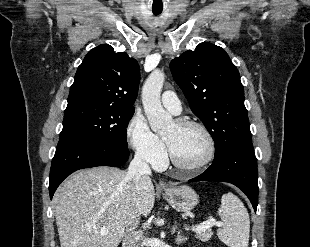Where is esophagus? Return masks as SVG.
I'll use <instances>...</instances> for the list:
<instances>
[{"instance_id": "esophagus-1", "label": "esophagus", "mask_w": 310, "mask_h": 247, "mask_svg": "<svg viewBox=\"0 0 310 247\" xmlns=\"http://www.w3.org/2000/svg\"><path fill=\"white\" fill-rule=\"evenodd\" d=\"M160 186H161V188H163V189L167 188V184H166V182H164L163 180L160 181Z\"/></svg>"}]
</instances>
